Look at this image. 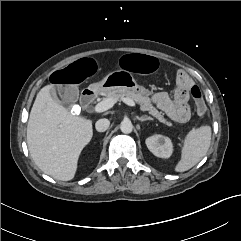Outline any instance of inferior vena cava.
<instances>
[{
    "mask_svg": "<svg viewBox=\"0 0 241 241\" xmlns=\"http://www.w3.org/2000/svg\"><path fill=\"white\" fill-rule=\"evenodd\" d=\"M110 125V121L106 118L103 119H99L96 124H95V128L98 132H104L108 129Z\"/></svg>",
    "mask_w": 241,
    "mask_h": 241,
    "instance_id": "obj_1",
    "label": "inferior vena cava"
}]
</instances>
